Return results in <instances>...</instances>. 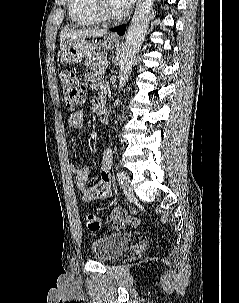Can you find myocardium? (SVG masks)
I'll list each match as a JSON object with an SVG mask.
<instances>
[{"mask_svg":"<svg viewBox=\"0 0 239 303\" xmlns=\"http://www.w3.org/2000/svg\"><path fill=\"white\" fill-rule=\"evenodd\" d=\"M91 5L94 14L100 19V21L103 22H108V23L117 22L121 20L125 15L124 12H120L118 14L110 13L106 9L103 0H91Z\"/></svg>","mask_w":239,"mask_h":303,"instance_id":"myocardium-1","label":"myocardium"}]
</instances>
